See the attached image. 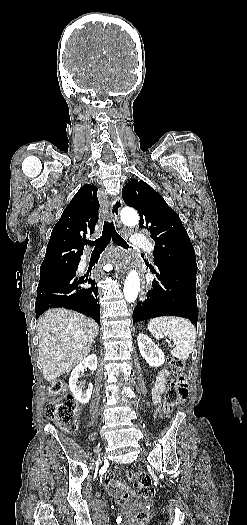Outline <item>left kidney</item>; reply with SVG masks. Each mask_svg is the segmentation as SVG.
Segmentation results:
<instances>
[{
  "mask_svg": "<svg viewBox=\"0 0 247 525\" xmlns=\"http://www.w3.org/2000/svg\"><path fill=\"white\" fill-rule=\"evenodd\" d=\"M137 341L139 351L150 367H160V365H163L165 361L164 353H162L161 349L149 339L148 335L140 333L137 337Z\"/></svg>",
  "mask_w": 247,
  "mask_h": 525,
  "instance_id": "1",
  "label": "left kidney"
}]
</instances>
